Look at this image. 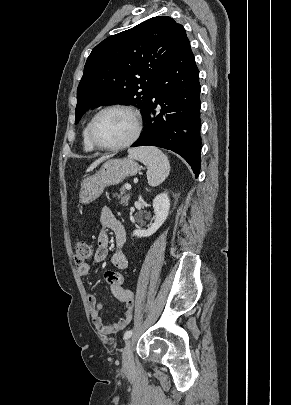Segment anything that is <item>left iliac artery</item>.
Masks as SVG:
<instances>
[{"mask_svg":"<svg viewBox=\"0 0 291 405\" xmlns=\"http://www.w3.org/2000/svg\"><path fill=\"white\" fill-rule=\"evenodd\" d=\"M132 334H133V331H132V330L126 331L125 334H124L123 339H124V340L129 339V338L132 336Z\"/></svg>","mask_w":291,"mask_h":405,"instance_id":"left-iliac-artery-1","label":"left iliac artery"}]
</instances>
